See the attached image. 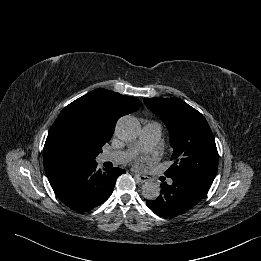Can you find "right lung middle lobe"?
Returning <instances> with one entry per match:
<instances>
[{
	"label": "right lung middle lobe",
	"mask_w": 261,
	"mask_h": 261,
	"mask_svg": "<svg viewBox=\"0 0 261 261\" xmlns=\"http://www.w3.org/2000/svg\"><path fill=\"white\" fill-rule=\"evenodd\" d=\"M107 141L90 122L77 120L68 126L61 147L70 155H87L95 161Z\"/></svg>",
	"instance_id": "1"
}]
</instances>
